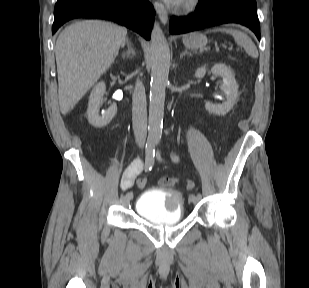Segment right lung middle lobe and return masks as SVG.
I'll use <instances>...</instances> for the list:
<instances>
[{"label":"right lung middle lobe","instance_id":"1","mask_svg":"<svg viewBox=\"0 0 309 288\" xmlns=\"http://www.w3.org/2000/svg\"><path fill=\"white\" fill-rule=\"evenodd\" d=\"M67 0H58V2L56 3V5H61L62 3L66 2Z\"/></svg>","mask_w":309,"mask_h":288}]
</instances>
